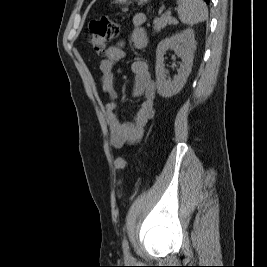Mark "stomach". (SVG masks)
Returning <instances> with one entry per match:
<instances>
[{"label": "stomach", "mask_w": 267, "mask_h": 267, "mask_svg": "<svg viewBox=\"0 0 267 267\" xmlns=\"http://www.w3.org/2000/svg\"><path fill=\"white\" fill-rule=\"evenodd\" d=\"M140 4L147 3L149 0H133ZM131 0H115V3L117 4H129Z\"/></svg>", "instance_id": "0dacf381"}]
</instances>
